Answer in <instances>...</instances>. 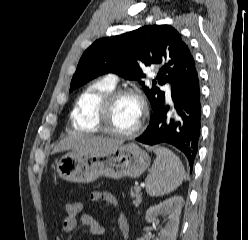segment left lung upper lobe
Masks as SVG:
<instances>
[{
  "mask_svg": "<svg viewBox=\"0 0 248 240\" xmlns=\"http://www.w3.org/2000/svg\"><path fill=\"white\" fill-rule=\"evenodd\" d=\"M138 62L146 66L159 64L157 81L171 88L195 71V60L181 34L170 25L144 26L113 37L96 40L82 55L73 75L70 92L99 75L115 73L128 80L145 75ZM151 103L153 113L165 102V93L155 85L146 87L140 82Z\"/></svg>",
  "mask_w": 248,
  "mask_h": 240,
  "instance_id": "left-lung-upper-lobe-1",
  "label": "left lung upper lobe"
}]
</instances>
